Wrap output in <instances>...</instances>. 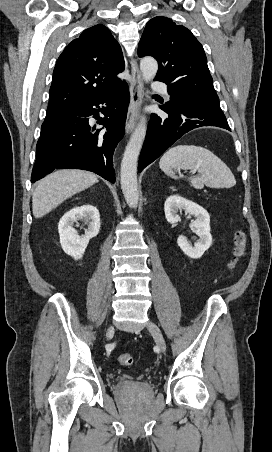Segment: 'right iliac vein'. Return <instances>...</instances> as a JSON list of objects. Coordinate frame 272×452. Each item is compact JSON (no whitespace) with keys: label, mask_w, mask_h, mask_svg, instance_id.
Returning a JSON list of instances; mask_svg holds the SVG:
<instances>
[{"label":"right iliac vein","mask_w":272,"mask_h":452,"mask_svg":"<svg viewBox=\"0 0 272 452\" xmlns=\"http://www.w3.org/2000/svg\"><path fill=\"white\" fill-rule=\"evenodd\" d=\"M114 333V327L113 326H109L106 330V338L109 339L112 334Z\"/></svg>","instance_id":"obj_1"}]
</instances>
